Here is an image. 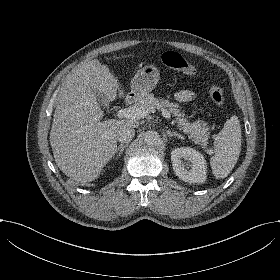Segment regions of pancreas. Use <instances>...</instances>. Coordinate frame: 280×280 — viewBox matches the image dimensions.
Returning <instances> with one entry per match:
<instances>
[{
    "instance_id": "1",
    "label": "pancreas",
    "mask_w": 280,
    "mask_h": 280,
    "mask_svg": "<svg viewBox=\"0 0 280 280\" xmlns=\"http://www.w3.org/2000/svg\"><path fill=\"white\" fill-rule=\"evenodd\" d=\"M163 105L167 106L174 116L177 115V105L170 102L161 103L153 93L146 95L144 98L138 99L134 103L135 107H142L145 110H149L150 112L154 109V107H162ZM176 123L182 126L183 132L190 134L193 141H195L197 144H200L204 150L208 149L210 138L209 130L211 129V127L208 126L206 121L197 120L193 123H187L178 115L176 117Z\"/></svg>"
}]
</instances>
